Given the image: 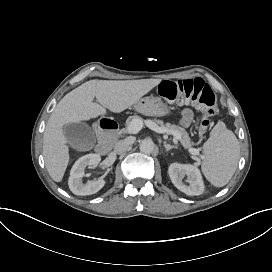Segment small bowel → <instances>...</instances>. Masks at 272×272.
Masks as SVG:
<instances>
[{
  "label": "small bowel",
  "instance_id": "c3829d8e",
  "mask_svg": "<svg viewBox=\"0 0 272 272\" xmlns=\"http://www.w3.org/2000/svg\"><path fill=\"white\" fill-rule=\"evenodd\" d=\"M192 117H193V113H192L191 109L185 108L182 111V114H181V122H182V124L188 125L191 122Z\"/></svg>",
  "mask_w": 272,
  "mask_h": 272
}]
</instances>
